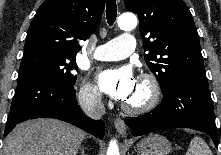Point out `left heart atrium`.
<instances>
[{
	"mask_svg": "<svg viewBox=\"0 0 221 155\" xmlns=\"http://www.w3.org/2000/svg\"><path fill=\"white\" fill-rule=\"evenodd\" d=\"M97 80L103 92L119 101H126L136 85L129 67L104 70L98 74Z\"/></svg>",
	"mask_w": 221,
	"mask_h": 155,
	"instance_id": "1",
	"label": "left heart atrium"
}]
</instances>
